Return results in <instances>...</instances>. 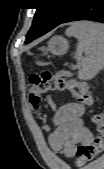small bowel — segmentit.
<instances>
[{"label": "small bowel", "mask_w": 104, "mask_h": 169, "mask_svg": "<svg viewBox=\"0 0 104 169\" xmlns=\"http://www.w3.org/2000/svg\"><path fill=\"white\" fill-rule=\"evenodd\" d=\"M84 107L76 102L61 106L55 113V130L49 136V143L55 151H61L66 157L75 155L78 144H87L92 140V132L85 126Z\"/></svg>", "instance_id": "obj_1"}]
</instances>
